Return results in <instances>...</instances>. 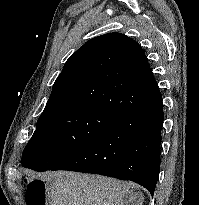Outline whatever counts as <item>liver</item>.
<instances>
[{"label": "liver", "instance_id": "6515ba94", "mask_svg": "<svg viewBox=\"0 0 199 205\" xmlns=\"http://www.w3.org/2000/svg\"><path fill=\"white\" fill-rule=\"evenodd\" d=\"M43 179L50 181L51 205H128L132 198L133 204L140 202L129 184L113 178L60 171Z\"/></svg>", "mask_w": 199, "mask_h": 205}]
</instances>
